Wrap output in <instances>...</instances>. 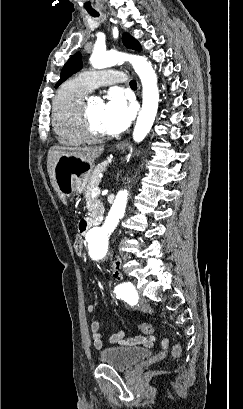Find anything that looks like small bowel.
Instances as JSON below:
<instances>
[{
	"label": "small bowel",
	"instance_id": "small-bowel-1",
	"mask_svg": "<svg viewBox=\"0 0 243 409\" xmlns=\"http://www.w3.org/2000/svg\"><path fill=\"white\" fill-rule=\"evenodd\" d=\"M81 224V223H80ZM111 276L114 279L120 278V272L116 264L113 265L111 270ZM88 312L92 313L95 311L94 305H89L87 307ZM91 334L94 342V346L98 349L102 348L105 344V339L100 331V325L98 322L94 321L91 324ZM109 342L112 344H120L122 346H146L150 347L155 342V337L152 333L146 334L145 336H136L132 338H125V333L122 330H118L109 337Z\"/></svg>",
	"mask_w": 243,
	"mask_h": 409
}]
</instances>
